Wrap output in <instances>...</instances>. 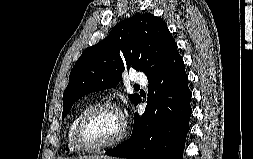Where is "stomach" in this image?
<instances>
[{
	"label": "stomach",
	"instance_id": "obj_1",
	"mask_svg": "<svg viewBox=\"0 0 253 159\" xmlns=\"http://www.w3.org/2000/svg\"><path fill=\"white\" fill-rule=\"evenodd\" d=\"M102 159H117V158H102Z\"/></svg>",
	"mask_w": 253,
	"mask_h": 159
}]
</instances>
